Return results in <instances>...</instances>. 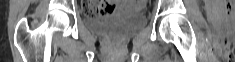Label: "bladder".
Returning a JSON list of instances; mask_svg holds the SVG:
<instances>
[{"instance_id": "bladder-1", "label": "bladder", "mask_w": 235, "mask_h": 62, "mask_svg": "<svg viewBox=\"0 0 235 62\" xmlns=\"http://www.w3.org/2000/svg\"><path fill=\"white\" fill-rule=\"evenodd\" d=\"M146 23L144 12L129 1L105 16L85 15V24L94 32L103 35H128L142 29Z\"/></svg>"}]
</instances>
